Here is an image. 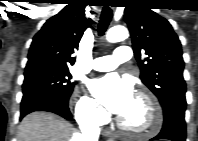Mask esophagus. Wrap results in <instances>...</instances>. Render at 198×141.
<instances>
[{
  "instance_id": "obj_1",
  "label": "esophagus",
  "mask_w": 198,
  "mask_h": 141,
  "mask_svg": "<svg viewBox=\"0 0 198 141\" xmlns=\"http://www.w3.org/2000/svg\"><path fill=\"white\" fill-rule=\"evenodd\" d=\"M106 135L109 137V140H113V135L111 132H106Z\"/></svg>"
}]
</instances>
